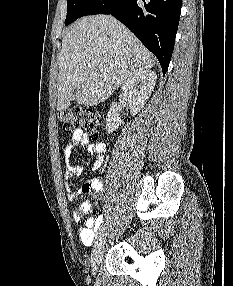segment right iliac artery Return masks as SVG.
I'll return each instance as SVG.
<instances>
[{
	"label": "right iliac artery",
	"mask_w": 233,
	"mask_h": 286,
	"mask_svg": "<svg viewBox=\"0 0 233 286\" xmlns=\"http://www.w3.org/2000/svg\"><path fill=\"white\" fill-rule=\"evenodd\" d=\"M105 228H106L105 225H103V226H101V227L99 228V230H98V232H97V235H96V239H98L99 237L102 236V234H103Z\"/></svg>",
	"instance_id": "right-iliac-artery-1"
}]
</instances>
